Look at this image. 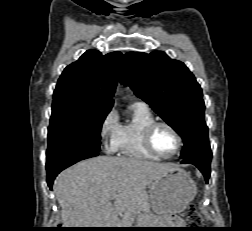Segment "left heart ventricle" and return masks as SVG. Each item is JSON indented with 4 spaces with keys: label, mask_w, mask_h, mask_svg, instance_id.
<instances>
[{
    "label": "left heart ventricle",
    "mask_w": 252,
    "mask_h": 231,
    "mask_svg": "<svg viewBox=\"0 0 252 231\" xmlns=\"http://www.w3.org/2000/svg\"><path fill=\"white\" fill-rule=\"evenodd\" d=\"M152 143L154 148L163 156L173 154L178 145L175 136L164 126H159L154 130Z\"/></svg>",
    "instance_id": "1"
}]
</instances>
